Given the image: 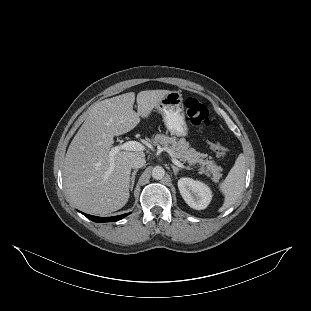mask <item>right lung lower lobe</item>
Here are the masks:
<instances>
[{
	"instance_id": "98d812e1",
	"label": "right lung lower lobe",
	"mask_w": 311,
	"mask_h": 311,
	"mask_svg": "<svg viewBox=\"0 0 311 311\" xmlns=\"http://www.w3.org/2000/svg\"><path fill=\"white\" fill-rule=\"evenodd\" d=\"M82 214H84V213H82ZM84 215L88 219H90V220H92L94 222H114V221H118V220L124 218L128 214H123V215L114 216V217H96V216H92V215H88V214H84Z\"/></svg>"
}]
</instances>
